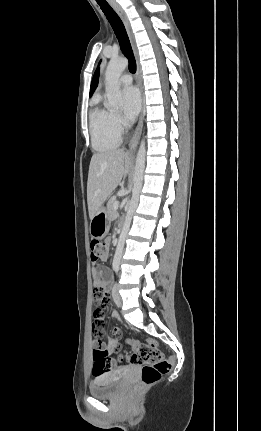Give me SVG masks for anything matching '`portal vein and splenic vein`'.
I'll return each mask as SVG.
<instances>
[{"label": "portal vein and splenic vein", "instance_id": "obj_1", "mask_svg": "<svg viewBox=\"0 0 261 431\" xmlns=\"http://www.w3.org/2000/svg\"><path fill=\"white\" fill-rule=\"evenodd\" d=\"M113 206H114V208H115V209H117V208H118V206H119V203H118V202H115Z\"/></svg>", "mask_w": 261, "mask_h": 431}]
</instances>
